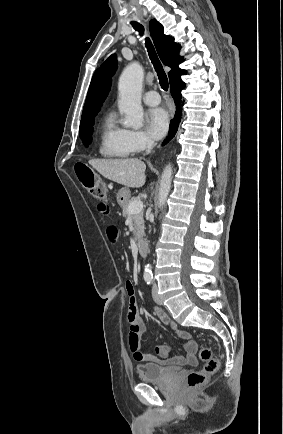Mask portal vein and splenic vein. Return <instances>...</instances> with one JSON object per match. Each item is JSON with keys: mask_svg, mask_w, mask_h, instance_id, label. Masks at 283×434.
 <instances>
[{"mask_svg": "<svg viewBox=\"0 0 283 434\" xmlns=\"http://www.w3.org/2000/svg\"><path fill=\"white\" fill-rule=\"evenodd\" d=\"M130 213H139L143 210V203L140 200L131 202L128 206Z\"/></svg>", "mask_w": 283, "mask_h": 434, "instance_id": "obj_1", "label": "portal vein and splenic vein"}]
</instances>
